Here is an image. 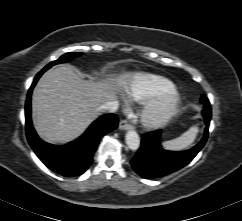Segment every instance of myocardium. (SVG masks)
Wrapping results in <instances>:
<instances>
[{
	"mask_svg": "<svg viewBox=\"0 0 242 221\" xmlns=\"http://www.w3.org/2000/svg\"><path fill=\"white\" fill-rule=\"evenodd\" d=\"M180 103V95L175 89L149 100L140 112L141 124L149 129L162 127L175 115Z\"/></svg>",
	"mask_w": 242,
	"mask_h": 221,
	"instance_id": "obj_1",
	"label": "myocardium"
}]
</instances>
